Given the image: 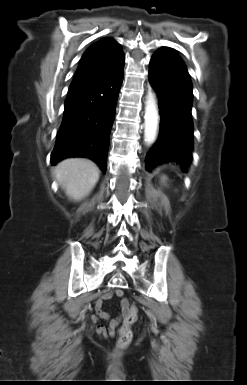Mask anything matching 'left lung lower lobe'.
I'll list each match as a JSON object with an SVG mask.
<instances>
[{
  "instance_id": "left-lung-lower-lobe-1",
  "label": "left lung lower lobe",
  "mask_w": 247,
  "mask_h": 385,
  "mask_svg": "<svg viewBox=\"0 0 247 385\" xmlns=\"http://www.w3.org/2000/svg\"><path fill=\"white\" fill-rule=\"evenodd\" d=\"M149 81L159 99L161 121L158 139L146 155V169L168 161L189 165L193 147L192 83L174 49L165 47L154 53Z\"/></svg>"
}]
</instances>
